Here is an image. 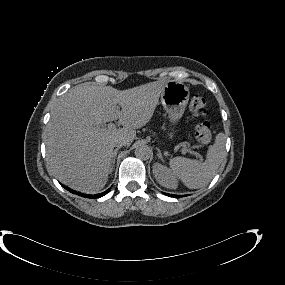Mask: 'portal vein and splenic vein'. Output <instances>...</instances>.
<instances>
[{
	"mask_svg": "<svg viewBox=\"0 0 285 285\" xmlns=\"http://www.w3.org/2000/svg\"><path fill=\"white\" fill-rule=\"evenodd\" d=\"M108 127H109V128H116V125H115L114 123H110V124L108 125ZM181 152H182V154H184V155L187 153V151H186L185 149H182Z\"/></svg>",
	"mask_w": 285,
	"mask_h": 285,
	"instance_id": "obj_1",
	"label": "portal vein and splenic vein"
}]
</instances>
